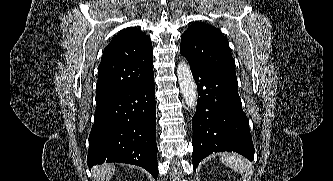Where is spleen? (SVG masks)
<instances>
[{"label": "spleen", "instance_id": "3e777b00", "mask_svg": "<svg viewBox=\"0 0 333 181\" xmlns=\"http://www.w3.org/2000/svg\"><path fill=\"white\" fill-rule=\"evenodd\" d=\"M221 162L226 166H229L235 172L246 175L248 174L246 160L238 154H223L220 158Z\"/></svg>", "mask_w": 333, "mask_h": 181}]
</instances>
